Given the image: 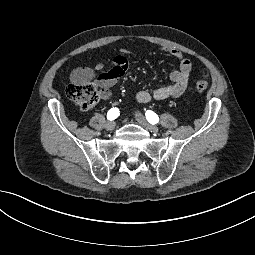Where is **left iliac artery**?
<instances>
[{"mask_svg": "<svg viewBox=\"0 0 255 255\" xmlns=\"http://www.w3.org/2000/svg\"><path fill=\"white\" fill-rule=\"evenodd\" d=\"M146 119L148 120L149 123L151 124H156L159 121V117L157 114L151 110H148L146 113Z\"/></svg>", "mask_w": 255, "mask_h": 255, "instance_id": "left-iliac-artery-1", "label": "left iliac artery"}]
</instances>
